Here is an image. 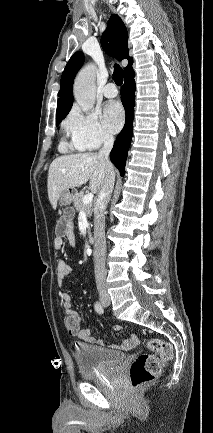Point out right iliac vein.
Here are the masks:
<instances>
[{"mask_svg": "<svg viewBox=\"0 0 213 433\" xmlns=\"http://www.w3.org/2000/svg\"><path fill=\"white\" fill-rule=\"evenodd\" d=\"M101 300H102L103 303H105L108 300V296L101 295Z\"/></svg>", "mask_w": 213, "mask_h": 433, "instance_id": "right-iliac-vein-1", "label": "right iliac vein"}]
</instances>
